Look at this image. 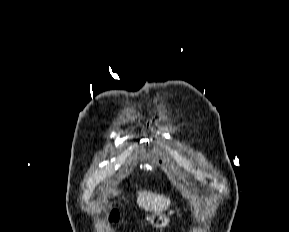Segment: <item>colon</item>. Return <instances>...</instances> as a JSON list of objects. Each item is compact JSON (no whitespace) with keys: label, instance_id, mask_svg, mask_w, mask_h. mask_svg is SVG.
Segmentation results:
<instances>
[{"label":"colon","instance_id":"1","mask_svg":"<svg viewBox=\"0 0 289 232\" xmlns=\"http://www.w3.org/2000/svg\"><path fill=\"white\" fill-rule=\"evenodd\" d=\"M108 219L110 222H116L118 220V212L116 210H111Z\"/></svg>","mask_w":289,"mask_h":232}]
</instances>
